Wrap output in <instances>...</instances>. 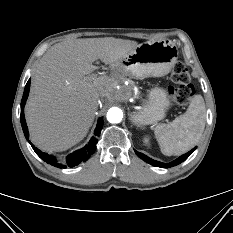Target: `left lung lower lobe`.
Wrapping results in <instances>:
<instances>
[{"label":"left lung lower lobe","instance_id":"0a47b994","mask_svg":"<svg viewBox=\"0 0 233 233\" xmlns=\"http://www.w3.org/2000/svg\"><path fill=\"white\" fill-rule=\"evenodd\" d=\"M195 149H196V147L193 148L191 151L187 152L186 154L180 156L178 159L170 162V163H162V162L153 160V159L149 158L148 156H146V155H144V154H142L140 152H137L136 150H135V153L142 160H144L145 162H147V163H149V164H151L153 166L161 167V168H170V167L176 166V165L182 163L183 161H185L194 152Z\"/></svg>","mask_w":233,"mask_h":233}]
</instances>
